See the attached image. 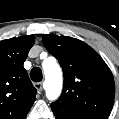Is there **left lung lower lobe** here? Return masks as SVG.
Masks as SVG:
<instances>
[{"label": "left lung lower lobe", "mask_w": 119, "mask_h": 119, "mask_svg": "<svg viewBox=\"0 0 119 119\" xmlns=\"http://www.w3.org/2000/svg\"><path fill=\"white\" fill-rule=\"evenodd\" d=\"M56 119H106L101 117H92V116H85L79 115L73 112H59L52 109Z\"/></svg>", "instance_id": "1"}]
</instances>
